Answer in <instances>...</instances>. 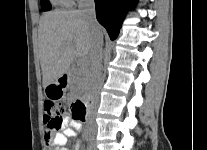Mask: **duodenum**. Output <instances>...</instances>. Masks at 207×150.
Here are the masks:
<instances>
[{
	"mask_svg": "<svg viewBox=\"0 0 207 150\" xmlns=\"http://www.w3.org/2000/svg\"><path fill=\"white\" fill-rule=\"evenodd\" d=\"M68 82V76L67 75H63L60 78V84L62 86H65ZM75 109L80 113L81 117L83 119H85L87 117V115L89 114V110H90V100L89 98H84L80 101H77L75 104Z\"/></svg>",
	"mask_w": 207,
	"mask_h": 150,
	"instance_id": "410a0bca",
	"label": "duodenum"
}]
</instances>
